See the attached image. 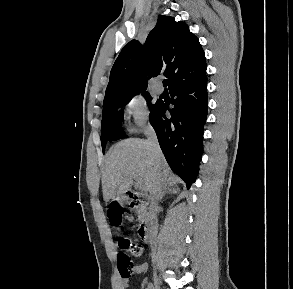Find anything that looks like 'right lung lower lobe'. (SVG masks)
Segmentation results:
<instances>
[{
	"label": "right lung lower lobe",
	"mask_w": 293,
	"mask_h": 289,
	"mask_svg": "<svg viewBox=\"0 0 293 289\" xmlns=\"http://www.w3.org/2000/svg\"><path fill=\"white\" fill-rule=\"evenodd\" d=\"M169 93L175 105L169 109L171 118L165 111L163 102L150 112V122L164 153L172 168L190 188L195 181L199 161L203 153V132L207 117V77L173 87Z\"/></svg>",
	"instance_id": "obj_1"
}]
</instances>
